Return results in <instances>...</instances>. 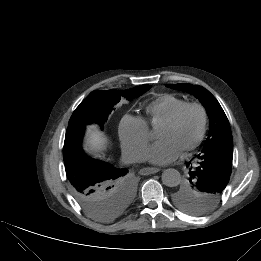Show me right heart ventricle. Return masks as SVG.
Wrapping results in <instances>:
<instances>
[{
  "mask_svg": "<svg viewBox=\"0 0 261 261\" xmlns=\"http://www.w3.org/2000/svg\"><path fill=\"white\" fill-rule=\"evenodd\" d=\"M187 101L181 97L165 94L150 102L146 108V117L142 118L148 126L164 123L171 115Z\"/></svg>",
  "mask_w": 261,
  "mask_h": 261,
  "instance_id": "obj_1",
  "label": "right heart ventricle"
}]
</instances>
